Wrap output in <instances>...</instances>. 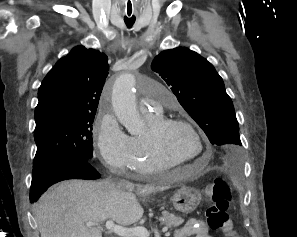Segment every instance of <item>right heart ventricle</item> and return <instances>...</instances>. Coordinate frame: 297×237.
<instances>
[{"label": "right heart ventricle", "instance_id": "e07e8e85", "mask_svg": "<svg viewBox=\"0 0 297 237\" xmlns=\"http://www.w3.org/2000/svg\"><path fill=\"white\" fill-rule=\"evenodd\" d=\"M150 126L153 122L160 118L158 114H145ZM145 134L131 137L132 161L130 169L142 175H150L163 171H169L176 167L159 160L152 152Z\"/></svg>", "mask_w": 297, "mask_h": 237}]
</instances>
